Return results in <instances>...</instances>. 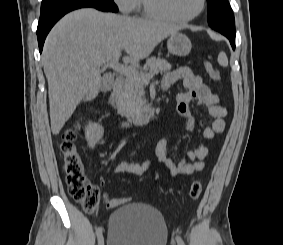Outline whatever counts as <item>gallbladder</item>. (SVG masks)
<instances>
[{"label":"gallbladder","mask_w":283,"mask_h":245,"mask_svg":"<svg viewBox=\"0 0 283 245\" xmlns=\"http://www.w3.org/2000/svg\"><path fill=\"white\" fill-rule=\"evenodd\" d=\"M111 88V85L109 83H104L101 87L102 91H108Z\"/></svg>","instance_id":"obj_1"}]
</instances>
